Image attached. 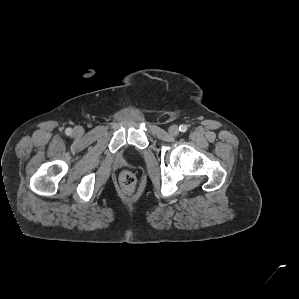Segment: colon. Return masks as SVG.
Masks as SVG:
<instances>
[{
    "label": "colon",
    "instance_id": "obj_1",
    "mask_svg": "<svg viewBox=\"0 0 299 299\" xmlns=\"http://www.w3.org/2000/svg\"><path fill=\"white\" fill-rule=\"evenodd\" d=\"M120 184L127 190L134 189L136 185V178L133 172L130 170H124L119 176Z\"/></svg>",
    "mask_w": 299,
    "mask_h": 299
}]
</instances>
